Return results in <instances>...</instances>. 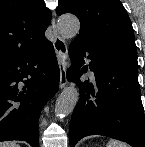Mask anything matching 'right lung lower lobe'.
Returning <instances> with one entry per match:
<instances>
[{
    "mask_svg": "<svg viewBox=\"0 0 145 147\" xmlns=\"http://www.w3.org/2000/svg\"><path fill=\"white\" fill-rule=\"evenodd\" d=\"M20 81L23 88L18 86ZM58 86L59 66L49 40L1 64L0 141L22 140L39 147L38 119Z\"/></svg>",
    "mask_w": 145,
    "mask_h": 147,
    "instance_id": "98d812e1",
    "label": "right lung lower lobe"
}]
</instances>
